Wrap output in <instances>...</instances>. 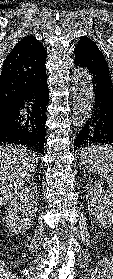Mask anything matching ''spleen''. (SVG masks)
<instances>
[{
  "mask_svg": "<svg viewBox=\"0 0 113 279\" xmlns=\"http://www.w3.org/2000/svg\"><path fill=\"white\" fill-rule=\"evenodd\" d=\"M82 165L93 173L105 177L111 192H113V146L92 145L81 151Z\"/></svg>",
  "mask_w": 113,
  "mask_h": 279,
  "instance_id": "obj_1",
  "label": "spleen"
}]
</instances>
